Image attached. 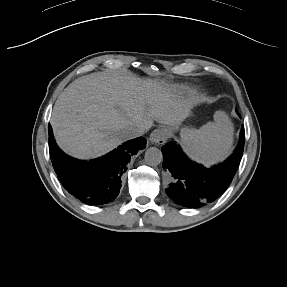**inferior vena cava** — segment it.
Here are the masks:
<instances>
[{
	"label": "inferior vena cava",
	"instance_id": "obj_1",
	"mask_svg": "<svg viewBox=\"0 0 287 287\" xmlns=\"http://www.w3.org/2000/svg\"><path fill=\"white\" fill-rule=\"evenodd\" d=\"M145 130L146 128L144 125L131 124V125H127L126 127H124L122 132L128 140V139H133V138L142 136Z\"/></svg>",
	"mask_w": 287,
	"mask_h": 287
}]
</instances>
